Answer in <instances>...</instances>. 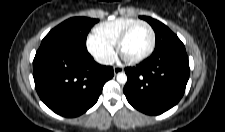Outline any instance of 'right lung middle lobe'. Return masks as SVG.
<instances>
[{
    "label": "right lung middle lobe",
    "instance_id": "dd1d6c3e",
    "mask_svg": "<svg viewBox=\"0 0 225 132\" xmlns=\"http://www.w3.org/2000/svg\"><path fill=\"white\" fill-rule=\"evenodd\" d=\"M98 19L73 17L52 29L41 45H61L86 50V37Z\"/></svg>",
    "mask_w": 225,
    "mask_h": 132
}]
</instances>
